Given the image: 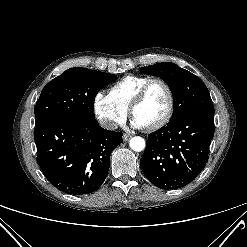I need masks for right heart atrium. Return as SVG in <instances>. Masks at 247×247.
<instances>
[{"label": "right heart atrium", "mask_w": 247, "mask_h": 247, "mask_svg": "<svg viewBox=\"0 0 247 247\" xmlns=\"http://www.w3.org/2000/svg\"><path fill=\"white\" fill-rule=\"evenodd\" d=\"M93 110L99 122L107 129H114L126 120L128 109L119 105L111 96L99 91L93 98Z\"/></svg>", "instance_id": "right-heart-atrium-1"}]
</instances>
